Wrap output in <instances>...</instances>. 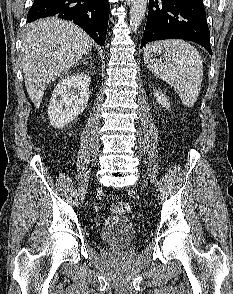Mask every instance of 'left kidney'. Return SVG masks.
Masks as SVG:
<instances>
[{
    "mask_svg": "<svg viewBox=\"0 0 233 294\" xmlns=\"http://www.w3.org/2000/svg\"><path fill=\"white\" fill-rule=\"evenodd\" d=\"M155 97L157 99V102L161 104L163 107H166L167 109L170 108V103L168 102V99L162 92H155Z\"/></svg>",
    "mask_w": 233,
    "mask_h": 294,
    "instance_id": "5707ae66",
    "label": "left kidney"
}]
</instances>
